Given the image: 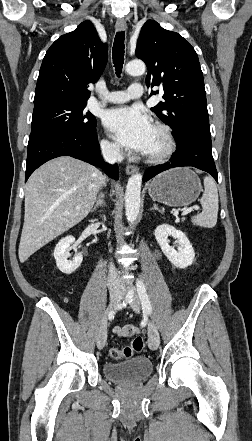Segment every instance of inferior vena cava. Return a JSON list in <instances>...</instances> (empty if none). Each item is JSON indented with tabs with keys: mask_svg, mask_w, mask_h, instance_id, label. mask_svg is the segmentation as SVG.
Instances as JSON below:
<instances>
[{
	"mask_svg": "<svg viewBox=\"0 0 252 441\" xmlns=\"http://www.w3.org/2000/svg\"><path fill=\"white\" fill-rule=\"evenodd\" d=\"M103 158L106 162L110 164L121 162L123 157L120 152V148L118 146H111V145H103L101 147ZM108 287L110 292L113 291H123V285L121 284L117 272L115 269L114 264L111 262L109 265V272H108V281H107Z\"/></svg>",
	"mask_w": 252,
	"mask_h": 441,
	"instance_id": "obj_1",
	"label": "inferior vena cava"
}]
</instances>
